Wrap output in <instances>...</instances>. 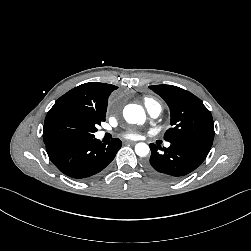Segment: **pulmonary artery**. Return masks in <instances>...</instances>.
<instances>
[{
  "label": "pulmonary artery",
  "mask_w": 251,
  "mask_h": 251,
  "mask_svg": "<svg viewBox=\"0 0 251 251\" xmlns=\"http://www.w3.org/2000/svg\"><path fill=\"white\" fill-rule=\"evenodd\" d=\"M145 107H146V110H147L148 114L152 118H157L160 115L161 110H162L160 104L157 103L156 101L146 102ZM104 135H105L104 131H99L98 132L99 137H103ZM166 146L169 147L170 144L166 143Z\"/></svg>",
  "instance_id": "1"
}]
</instances>
